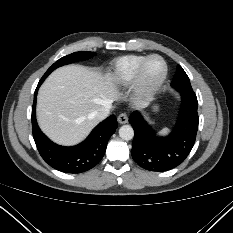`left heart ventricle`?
Here are the masks:
<instances>
[{
	"mask_svg": "<svg viewBox=\"0 0 233 233\" xmlns=\"http://www.w3.org/2000/svg\"><path fill=\"white\" fill-rule=\"evenodd\" d=\"M163 68V63L159 59H151L145 70L146 79L149 81L157 80L162 75Z\"/></svg>",
	"mask_w": 233,
	"mask_h": 233,
	"instance_id": "obj_1",
	"label": "left heart ventricle"
}]
</instances>
